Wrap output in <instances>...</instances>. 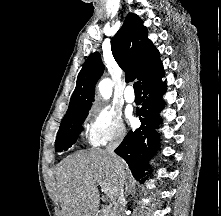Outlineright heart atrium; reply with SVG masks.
I'll return each mask as SVG.
<instances>
[{"label":"right heart atrium","mask_w":221,"mask_h":216,"mask_svg":"<svg viewBox=\"0 0 221 216\" xmlns=\"http://www.w3.org/2000/svg\"><path fill=\"white\" fill-rule=\"evenodd\" d=\"M126 135V126L117 110L105 104H97L91 108L87 127V138L91 145L121 142Z\"/></svg>","instance_id":"right-heart-atrium-1"}]
</instances>
